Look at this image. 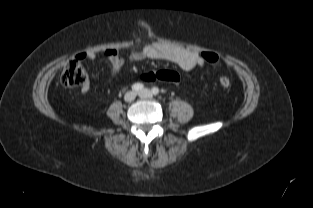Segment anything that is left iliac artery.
Returning a JSON list of instances; mask_svg holds the SVG:
<instances>
[{
    "label": "left iliac artery",
    "instance_id": "obj_1",
    "mask_svg": "<svg viewBox=\"0 0 313 208\" xmlns=\"http://www.w3.org/2000/svg\"><path fill=\"white\" fill-rule=\"evenodd\" d=\"M159 93V89L157 87L152 88V94L157 95Z\"/></svg>",
    "mask_w": 313,
    "mask_h": 208
}]
</instances>
